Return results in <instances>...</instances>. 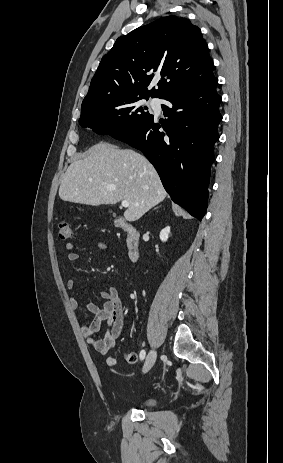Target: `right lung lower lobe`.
<instances>
[{
  "mask_svg": "<svg viewBox=\"0 0 283 463\" xmlns=\"http://www.w3.org/2000/svg\"><path fill=\"white\" fill-rule=\"evenodd\" d=\"M218 78L183 86L162 97L165 123L152 116L137 129L114 136L141 150L156 168L171 199L201 221L206 213L213 146L222 120ZM164 129V131L161 130Z\"/></svg>",
  "mask_w": 283,
  "mask_h": 463,
  "instance_id": "1",
  "label": "right lung lower lobe"
}]
</instances>
